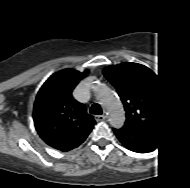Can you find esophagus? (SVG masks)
Wrapping results in <instances>:
<instances>
[{"instance_id": "1", "label": "esophagus", "mask_w": 190, "mask_h": 188, "mask_svg": "<svg viewBox=\"0 0 190 188\" xmlns=\"http://www.w3.org/2000/svg\"><path fill=\"white\" fill-rule=\"evenodd\" d=\"M95 120L97 122L104 121V120H106V116L105 115H96Z\"/></svg>"}]
</instances>
